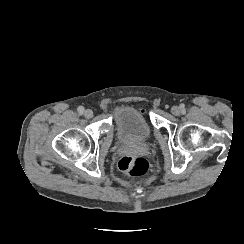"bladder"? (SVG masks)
I'll return each instance as SVG.
<instances>
[{
    "label": "bladder",
    "instance_id": "31cf9c89",
    "mask_svg": "<svg viewBox=\"0 0 244 244\" xmlns=\"http://www.w3.org/2000/svg\"><path fill=\"white\" fill-rule=\"evenodd\" d=\"M115 135L125 144L141 143L151 135V126L145 116L138 110L121 106L116 108L113 116Z\"/></svg>",
    "mask_w": 244,
    "mask_h": 244
}]
</instances>
